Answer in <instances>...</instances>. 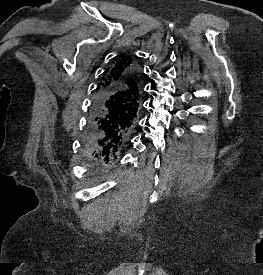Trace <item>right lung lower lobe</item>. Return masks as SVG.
Wrapping results in <instances>:
<instances>
[{
    "instance_id": "98d812e1",
    "label": "right lung lower lobe",
    "mask_w": 263,
    "mask_h": 275,
    "mask_svg": "<svg viewBox=\"0 0 263 275\" xmlns=\"http://www.w3.org/2000/svg\"><path fill=\"white\" fill-rule=\"evenodd\" d=\"M138 70L133 67L129 75L138 79ZM128 90L112 87L97 92L87 124L85 147L96 156L116 158V153L127 142L135 125L137 114L127 112Z\"/></svg>"
}]
</instances>
